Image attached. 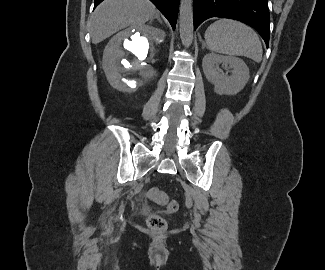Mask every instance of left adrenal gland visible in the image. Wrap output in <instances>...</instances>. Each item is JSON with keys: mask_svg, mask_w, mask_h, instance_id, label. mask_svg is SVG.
<instances>
[{"mask_svg": "<svg viewBox=\"0 0 325 270\" xmlns=\"http://www.w3.org/2000/svg\"><path fill=\"white\" fill-rule=\"evenodd\" d=\"M206 47V43L203 41L202 42V49H204Z\"/></svg>", "mask_w": 325, "mask_h": 270, "instance_id": "left-adrenal-gland-1", "label": "left adrenal gland"}]
</instances>
